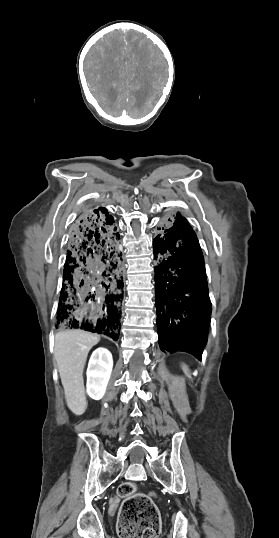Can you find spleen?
Listing matches in <instances>:
<instances>
[{"instance_id": "3e777b00", "label": "spleen", "mask_w": 279, "mask_h": 538, "mask_svg": "<svg viewBox=\"0 0 279 538\" xmlns=\"http://www.w3.org/2000/svg\"><path fill=\"white\" fill-rule=\"evenodd\" d=\"M183 370H184L185 374H187V376H189V374H188V372H189L188 366H183Z\"/></svg>"}]
</instances>
